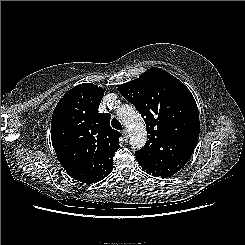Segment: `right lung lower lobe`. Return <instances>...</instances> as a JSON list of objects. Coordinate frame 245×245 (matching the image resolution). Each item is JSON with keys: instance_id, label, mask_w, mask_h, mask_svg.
<instances>
[{"instance_id": "98d812e1", "label": "right lung lower lobe", "mask_w": 245, "mask_h": 245, "mask_svg": "<svg viewBox=\"0 0 245 245\" xmlns=\"http://www.w3.org/2000/svg\"><path fill=\"white\" fill-rule=\"evenodd\" d=\"M112 170H113V169H112ZM112 170H110V171L107 173V175H109V174L111 173ZM68 174H69L70 176H72L74 179L80 181V178H79L78 173H76V172H69Z\"/></svg>"}]
</instances>
